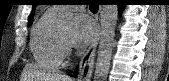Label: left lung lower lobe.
<instances>
[{
    "mask_svg": "<svg viewBox=\"0 0 169 81\" xmlns=\"http://www.w3.org/2000/svg\"><path fill=\"white\" fill-rule=\"evenodd\" d=\"M119 6H120V9H121L123 5H119Z\"/></svg>",
    "mask_w": 169,
    "mask_h": 81,
    "instance_id": "0a47b994",
    "label": "left lung lower lobe"
}]
</instances>
